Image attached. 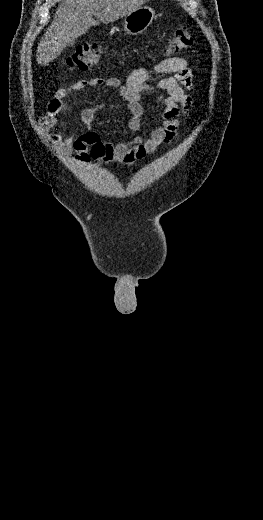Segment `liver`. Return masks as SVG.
I'll return each instance as SVG.
<instances>
[{
    "mask_svg": "<svg viewBox=\"0 0 263 520\" xmlns=\"http://www.w3.org/2000/svg\"><path fill=\"white\" fill-rule=\"evenodd\" d=\"M149 0H63L56 9L53 22L37 48V62L48 65L64 48L98 24L114 22L136 10Z\"/></svg>",
    "mask_w": 263,
    "mask_h": 520,
    "instance_id": "liver-1",
    "label": "liver"
}]
</instances>
